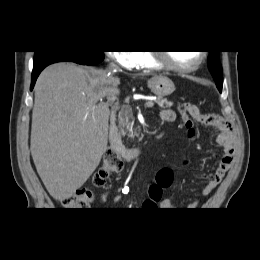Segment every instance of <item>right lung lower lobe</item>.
Masks as SVG:
<instances>
[{"label":"right lung lower lobe","mask_w":260,"mask_h":260,"mask_svg":"<svg viewBox=\"0 0 260 260\" xmlns=\"http://www.w3.org/2000/svg\"><path fill=\"white\" fill-rule=\"evenodd\" d=\"M102 51L81 52V51H62L47 52L33 62V71L31 79V90L34 87L36 79L40 72L48 65L56 62L71 61L82 65H96L103 61Z\"/></svg>","instance_id":"right-lung-lower-lobe-1"}]
</instances>
